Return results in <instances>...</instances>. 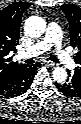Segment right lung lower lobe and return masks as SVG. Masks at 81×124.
<instances>
[{"label":"right lung lower lobe","instance_id":"98d812e1","mask_svg":"<svg viewBox=\"0 0 81 124\" xmlns=\"http://www.w3.org/2000/svg\"><path fill=\"white\" fill-rule=\"evenodd\" d=\"M40 66V63L19 66L9 77L0 81V95L15 97L25 93L31 86L36 70Z\"/></svg>","mask_w":81,"mask_h":124}]
</instances>
